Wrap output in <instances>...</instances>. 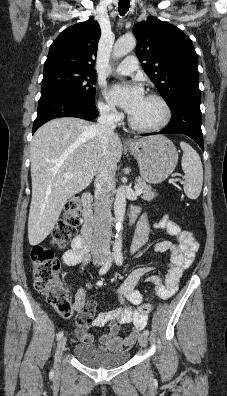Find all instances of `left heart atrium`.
I'll return each instance as SVG.
<instances>
[{
  "label": "left heart atrium",
  "instance_id": "left-heart-atrium-1",
  "mask_svg": "<svg viewBox=\"0 0 227 396\" xmlns=\"http://www.w3.org/2000/svg\"><path fill=\"white\" fill-rule=\"evenodd\" d=\"M107 99L132 115L145 99L142 87L133 84H115L107 91Z\"/></svg>",
  "mask_w": 227,
  "mask_h": 396
}]
</instances>
